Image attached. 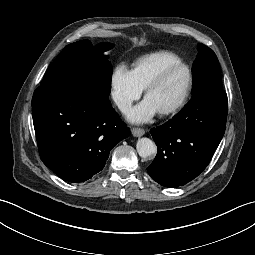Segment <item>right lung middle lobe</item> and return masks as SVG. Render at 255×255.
I'll list each match as a JSON object with an SVG mask.
<instances>
[{"label": "right lung middle lobe", "mask_w": 255, "mask_h": 255, "mask_svg": "<svg viewBox=\"0 0 255 255\" xmlns=\"http://www.w3.org/2000/svg\"><path fill=\"white\" fill-rule=\"evenodd\" d=\"M112 47L110 43L94 47L89 40L67 45L49 66L40 86H71L108 98L113 71L103 52Z\"/></svg>", "instance_id": "dd1d6c3e"}]
</instances>
